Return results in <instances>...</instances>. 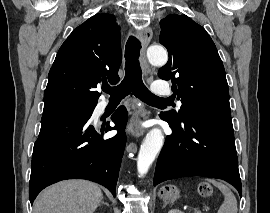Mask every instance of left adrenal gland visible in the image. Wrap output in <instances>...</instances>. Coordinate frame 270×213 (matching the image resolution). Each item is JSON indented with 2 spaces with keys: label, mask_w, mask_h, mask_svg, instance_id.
Segmentation results:
<instances>
[{
  "label": "left adrenal gland",
  "mask_w": 270,
  "mask_h": 213,
  "mask_svg": "<svg viewBox=\"0 0 270 213\" xmlns=\"http://www.w3.org/2000/svg\"><path fill=\"white\" fill-rule=\"evenodd\" d=\"M166 205H167V202L164 203V206L163 207H165Z\"/></svg>",
  "instance_id": "a2214340"
}]
</instances>
